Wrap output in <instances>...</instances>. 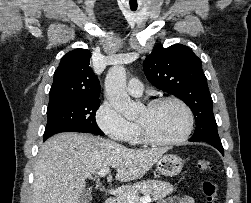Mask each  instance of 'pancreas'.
I'll return each instance as SVG.
<instances>
[{
    "instance_id": "cf45deb5",
    "label": "pancreas",
    "mask_w": 251,
    "mask_h": 203,
    "mask_svg": "<svg viewBox=\"0 0 251 203\" xmlns=\"http://www.w3.org/2000/svg\"><path fill=\"white\" fill-rule=\"evenodd\" d=\"M173 192V186L169 182L160 180H147L137 182L133 186L126 188L116 199L117 203H129L127 195L138 197L140 193L151 196L156 201Z\"/></svg>"
}]
</instances>
